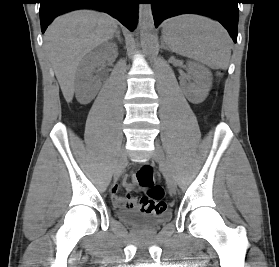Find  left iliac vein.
Listing matches in <instances>:
<instances>
[{"label": "left iliac vein", "instance_id": "obj_1", "mask_svg": "<svg viewBox=\"0 0 279 267\" xmlns=\"http://www.w3.org/2000/svg\"><path fill=\"white\" fill-rule=\"evenodd\" d=\"M153 158L160 165V167L162 169V172L166 179V184H167L168 189L170 190V192L175 193L177 185H176V181L174 178V174L165 157L162 147L158 143H155V150L153 152Z\"/></svg>", "mask_w": 279, "mask_h": 267}]
</instances>
